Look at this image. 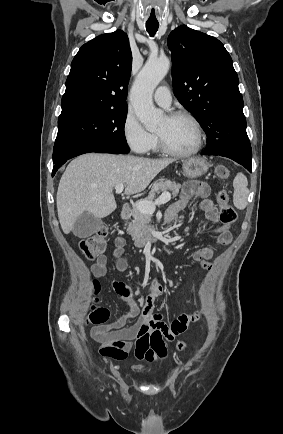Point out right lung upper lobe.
I'll use <instances>...</instances> for the list:
<instances>
[{
    "label": "right lung upper lobe",
    "mask_w": 283,
    "mask_h": 434,
    "mask_svg": "<svg viewBox=\"0 0 283 434\" xmlns=\"http://www.w3.org/2000/svg\"><path fill=\"white\" fill-rule=\"evenodd\" d=\"M131 64L129 40L121 30L84 44L71 63L60 116L127 108Z\"/></svg>",
    "instance_id": "cb5924a9"
}]
</instances>
